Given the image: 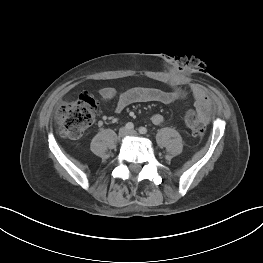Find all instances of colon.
I'll return each mask as SVG.
<instances>
[{"label":"colon","instance_id":"5ec220e1","mask_svg":"<svg viewBox=\"0 0 263 263\" xmlns=\"http://www.w3.org/2000/svg\"><path fill=\"white\" fill-rule=\"evenodd\" d=\"M179 98L185 97V92L177 89ZM96 113L95 100L87 95H81L75 102L61 106L55 115L59 125V133L64 138L77 139L93 123ZM185 123L196 137H202L205 133L204 121L193 111L185 114Z\"/></svg>","mask_w":263,"mask_h":263}]
</instances>
